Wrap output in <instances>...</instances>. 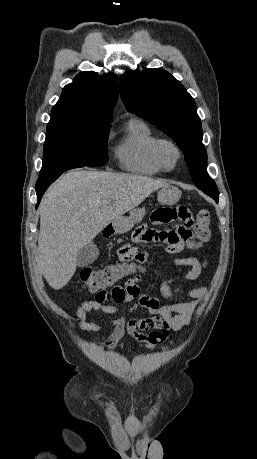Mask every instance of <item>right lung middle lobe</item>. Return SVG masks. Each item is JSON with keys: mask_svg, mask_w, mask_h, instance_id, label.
Masks as SVG:
<instances>
[{"mask_svg": "<svg viewBox=\"0 0 257 459\" xmlns=\"http://www.w3.org/2000/svg\"><path fill=\"white\" fill-rule=\"evenodd\" d=\"M109 127L110 125L51 117L47 125L40 173L105 164L108 161Z\"/></svg>", "mask_w": 257, "mask_h": 459, "instance_id": "right-lung-middle-lobe-1", "label": "right lung middle lobe"}]
</instances>
